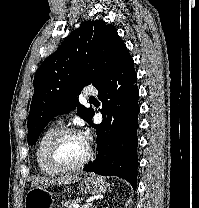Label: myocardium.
Listing matches in <instances>:
<instances>
[{"label": "myocardium", "mask_w": 199, "mask_h": 208, "mask_svg": "<svg viewBox=\"0 0 199 208\" xmlns=\"http://www.w3.org/2000/svg\"><path fill=\"white\" fill-rule=\"evenodd\" d=\"M71 134H79L84 137L86 144H87V155L85 158L75 164V165H65L63 164L57 157V149L60 142L68 135ZM94 149L92 145L88 142V139L76 128L74 127H65L59 130L53 138L50 140L48 147H47V159L49 164L59 172L68 173V172H75L83 167H85L93 158Z\"/></svg>", "instance_id": "1"}]
</instances>
